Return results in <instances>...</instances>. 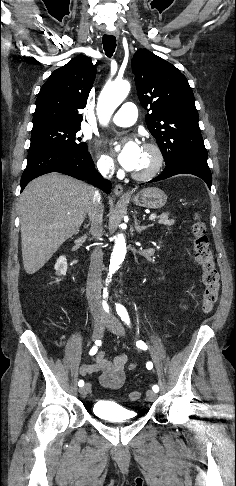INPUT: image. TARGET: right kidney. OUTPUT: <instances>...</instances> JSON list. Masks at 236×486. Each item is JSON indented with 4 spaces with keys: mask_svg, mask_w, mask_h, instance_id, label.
Segmentation results:
<instances>
[{
    "mask_svg": "<svg viewBox=\"0 0 236 486\" xmlns=\"http://www.w3.org/2000/svg\"><path fill=\"white\" fill-rule=\"evenodd\" d=\"M56 274L58 276H65L67 272V259L65 256H60L57 259V262L54 266ZM56 281H60V279H56Z\"/></svg>",
    "mask_w": 236,
    "mask_h": 486,
    "instance_id": "ca27d5eb",
    "label": "right kidney"
}]
</instances>
